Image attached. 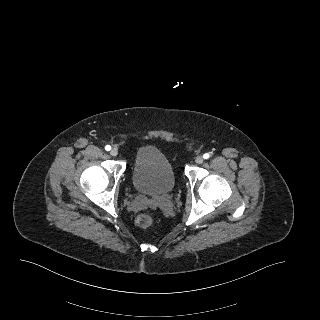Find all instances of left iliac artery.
Here are the masks:
<instances>
[{
  "label": "left iliac artery",
  "mask_w": 320,
  "mask_h": 320,
  "mask_svg": "<svg viewBox=\"0 0 320 320\" xmlns=\"http://www.w3.org/2000/svg\"><path fill=\"white\" fill-rule=\"evenodd\" d=\"M210 157V155L208 154V153H205L204 155H203V158L204 159H208Z\"/></svg>",
  "instance_id": "left-iliac-artery-1"
}]
</instances>
